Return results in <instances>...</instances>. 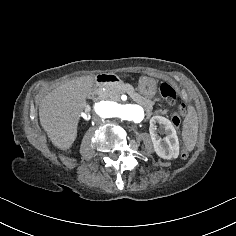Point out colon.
Returning <instances> with one entry per match:
<instances>
[{
	"instance_id": "5ec220e1",
	"label": "colon",
	"mask_w": 236,
	"mask_h": 236,
	"mask_svg": "<svg viewBox=\"0 0 236 236\" xmlns=\"http://www.w3.org/2000/svg\"><path fill=\"white\" fill-rule=\"evenodd\" d=\"M160 95L169 105H174L177 99V93L174 87L168 83L163 82L159 88ZM184 114V106H180L178 112L174 115L172 121L174 125L178 126L180 124L181 116Z\"/></svg>"
}]
</instances>
